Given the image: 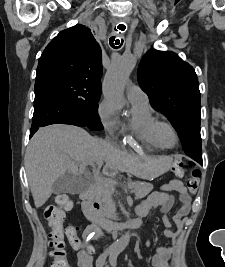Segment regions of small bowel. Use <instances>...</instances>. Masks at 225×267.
Masks as SVG:
<instances>
[{
  "instance_id": "1",
  "label": "small bowel",
  "mask_w": 225,
  "mask_h": 267,
  "mask_svg": "<svg viewBox=\"0 0 225 267\" xmlns=\"http://www.w3.org/2000/svg\"><path fill=\"white\" fill-rule=\"evenodd\" d=\"M171 191H176L179 194L180 207L174 217V222L177 228H180L183 222V217L186 216L190 211L191 197L188 193L187 188L183 183L177 179L170 181L163 185L160 191L153 192L150 194L140 206L137 207L136 212L138 220L146 216L150 211L159 209L162 213V221L165 229L163 234L168 239L174 240L176 238V232L173 231V224L169 220L168 212L174 205V196L170 194ZM68 209V208H67ZM94 227H88L84 232V238L89 240L91 235H94ZM149 245V241L147 242ZM77 251L78 262L80 267H90L91 255L94 249L91 245L83 246ZM173 253L172 247H158L155 255L152 257L151 264L153 267H170V256Z\"/></svg>"
}]
</instances>
